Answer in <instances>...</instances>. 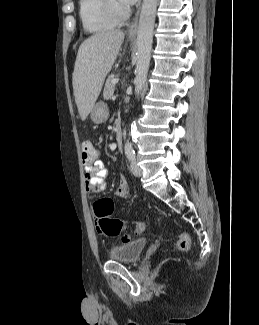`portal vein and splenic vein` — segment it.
I'll use <instances>...</instances> for the list:
<instances>
[{
	"label": "portal vein and splenic vein",
	"instance_id": "portal-vein-and-splenic-vein-1",
	"mask_svg": "<svg viewBox=\"0 0 259 325\" xmlns=\"http://www.w3.org/2000/svg\"><path fill=\"white\" fill-rule=\"evenodd\" d=\"M118 81H119V79L118 78H115V79L112 80V83L113 84H116V83H118Z\"/></svg>",
	"mask_w": 259,
	"mask_h": 325
}]
</instances>
